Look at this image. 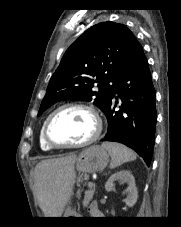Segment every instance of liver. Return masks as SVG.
Returning a JSON list of instances; mask_svg holds the SVG:
<instances>
[{"mask_svg":"<svg viewBox=\"0 0 181 227\" xmlns=\"http://www.w3.org/2000/svg\"><path fill=\"white\" fill-rule=\"evenodd\" d=\"M77 156L43 160L35 167V190L39 206L46 217H60L73 194Z\"/></svg>","mask_w":181,"mask_h":227,"instance_id":"1","label":"liver"}]
</instances>
